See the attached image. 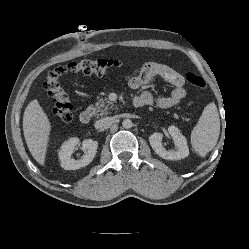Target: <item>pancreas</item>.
Returning <instances> with one entry per match:
<instances>
[{
	"instance_id": "obj_1",
	"label": "pancreas",
	"mask_w": 249,
	"mask_h": 249,
	"mask_svg": "<svg viewBox=\"0 0 249 249\" xmlns=\"http://www.w3.org/2000/svg\"><path fill=\"white\" fill-rule=\"evenodd\" d=\"M116 105L108 101L107 99H100L96 102L95 107L93 108L94 114L97 116L107 115L111 110L116 109ZM175 118H178V115H174Z\"/></svg>"
}]
</instances>
